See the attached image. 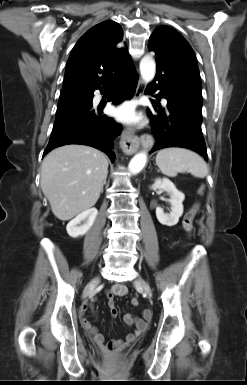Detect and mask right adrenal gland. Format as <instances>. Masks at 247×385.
Instances as JSON below:
<instances>
[{
    "label": "right adrenal gland",
    "mask_w": 247,
    "mask_h": 385,
    "mask_svg": "<svg viewBox=\"0 0 247 385\" xmlns=\"http://www.w3.org/2000/svg\"><path fill=\"white\" fill-rule=\"evenodd\" d=\"M106 179H107V177H106V178L104 179V181H103V185H102L101 192H103V186L106 185Z\"/></svg>",
    "instance_id": "2a0ac1e0"
}]
</instances>
